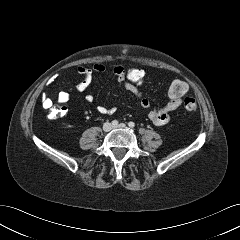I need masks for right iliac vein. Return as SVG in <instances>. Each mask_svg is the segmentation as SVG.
<instances>
[{
	"label": "right iliac vein",
	"mask_w": 240,
	"mask_h": 240,
	"mask_svg": "<svg viewBox=\"0 0 240 240\" xmlns=\"http://www.w3.org/2000/svg\"><path fill=\"white\" fill-rule=\"evenodd\" d=\"M111 128H112L111 123H109V122L104 123V125H103V131L108 132V131L111 130Z\"/></svg>",
	"instance_id": "1"
}]
</instances>
